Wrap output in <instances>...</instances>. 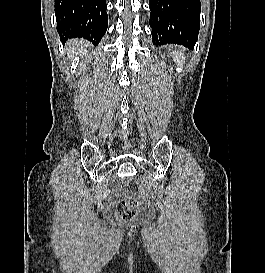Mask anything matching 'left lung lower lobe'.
I'll use <instances>...</instances> for the list:
<instances>
[{
  "label": "left lung lower lobe",
  "instance_id": "obj_1",
  "mask_svg": "<svg viewBox=\"0 0 265 273\" xmlns=\"http://www.w3.org/2000/svg\"><path fill=\"white\" fill-rule=\"evenodd\" d=\"M153 43L193 49L200 26L199 0H149Z\"/></svg>",
  "mask_w": 265,
  "mask_h": 273
}]
</instances>
